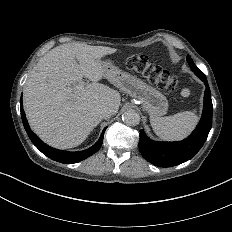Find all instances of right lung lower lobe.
Masks as SVG:
<instances>
[{
  "label": "right lung lower lobe",
  "mask_w": 232,
  "mask_h": 232,
  "mask_svg": "<svg viewBox=\"0 0 232 232\" xmlns=\"http://www.w3.org/2000/svg\"><path fill=\"white\" fill-rule=\"evenodd\" d=\"M20 106H21L20 110H21V117H22L23 125H24V128L26 129L28 137L30 138L32 143L43 154H45L50 159L61 162V163H65V164H71V163H76V162H79V161H82L88 158L89 156L93 155L100 149L102 142H103L104 132L107 127L103 130L99 140L95 143V145H93L89 149H86L84 151H78V152L62 151V150H58V149H55V148H52L46 145L45 143H43V141H41L37 137V135L34 132L31 131L29 124L27 122L24 110H23L22 99L20 100Z\"/></svg>",
  "instance_id": "right-lung-lower-lobe-1"
}]
</instances>
